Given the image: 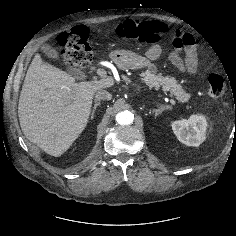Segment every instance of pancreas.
Listing matches in <instances>:
<instances>
[{"mask_svg": "<svg viewBox=\"0 0 236 236\" xmlns=\"http://www.w3.org/2000/svg\"><path fill=\"white\" fill-rule=\"evenodd\" d=\"M141 76V79L149 87H155L156 89L162 87L164 92L169 91L170 94L175 96L176 100L179 102H188L191 97L175 78L169 76L164 77L161 73L157 74V68L154 64H150L147 71L145 73H141Z\"/></svg>", "mask_w": 236, "mask_h": 236, "instance_id": "cf45deb5", "label": "pancreas"}]
</instances>
